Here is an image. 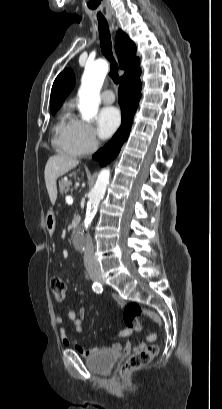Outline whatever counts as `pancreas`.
<instances>
[{"label": "pancreas", "instance_id": "cf45deb5", "mask_svg": "<svg viewBox=\"0 0 222 409\" xmlns=\"http://www.w3.org/2000/svg\"><path fill=\"white\" fill-rule=\"evenodd\" d=\"M70 186H71V181L70 180H64V179H62V180H60V182H59V188H60V192H69V191H72V189H70Z\"/></svg>", "mask_w": 222, "mask_h": 409}]
</instances>
